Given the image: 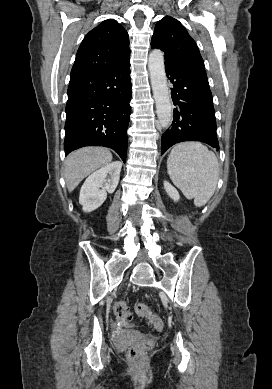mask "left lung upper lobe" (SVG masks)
I'll return each instance as SVG.
<instances>
[{"label": "left lung upper lobe", "instance_id": "5c2ea615", "mask_svg": "<svg viewBox=\"0 0 272 389\" xmlns=\"http://www.w3.org/2000/svg\"><path fill=\"white\" fill-rule=\"evenodd\" d=\"M151 48L161 49L165 67L170 69H203L204 61L195 41L176 19L166 16L157 22Z\"/></svg>", "mask_w": 272, "mask_h": 389}]
</instances>
